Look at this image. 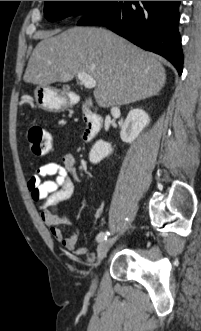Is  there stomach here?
Wrapping results in <instances>:
<instances>
[{
    "label": "stomach",
    "mask_w": 201,
    "mask_h": 331,
    "mask_svg": "<svg viewBox=\"0 0 201 331\" xmlns=\"http://www.w3.org/2000/svg\"><path fill=\"white\" fill-rule=\"evenodd\" d=\"M36 104L47 111H60L67 107V102L47 86H38L34 91Z\"/></svg>",
    "instance_id": "stomach-1"
}]
</instances>
